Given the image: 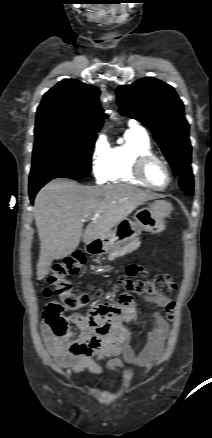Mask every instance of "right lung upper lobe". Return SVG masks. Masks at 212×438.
<instances>
[{
    "instance_id": "right-lung-upper-lobe-1",
    "label": "right lung upper lobe",
    "mask_w": 212,
    "mask_h": 438,
    "mask_svg": "<svg viewBox=\"0 0 212 438\" xmlns=\"http://www.w3.org/2000/svg\"><path fill=\"white\" fill-rule=\"evenodd\" d=\"M99 90L78 80L65 79L45 93L36 116L35 132L56 129L97 133L103 124Z\"/></svg>"
}]
</instances>
